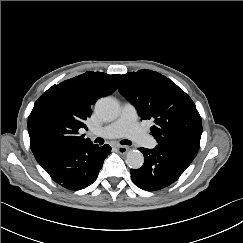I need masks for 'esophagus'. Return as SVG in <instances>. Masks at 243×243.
Returning a JSON list of instances; mask_svg holds the SVG:
<instances>
[{
  "mask_svg": "<svg viewBox=\"0 0 243 243\" xmlns=\"http://www.w3.org/2000/svg\"><path fill=\"white\" fill-rule=\"evenodd\" d=\"M116 149L120 154H125L128 151V148L126 146H117Z\"/></svg>",
  "mask_w": 243,
  "mask_h": 243,
  "instance_id": "esophagus-1",
  "label": "esophagus"
}]
</instances>
